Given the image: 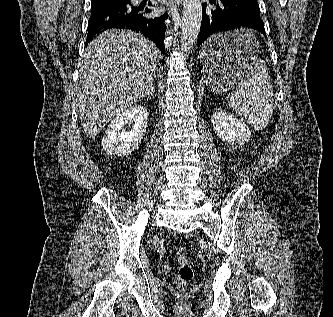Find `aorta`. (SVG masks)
<instances>
[{
  "mask_svg": "<svg viewBox=\"0 0 333 317\" xmlns=\"http://www.w3.org/2000/svg\"><path fill=\"white\" fill-rule=\"evenodd\" d=\"M202 6L200 0H183L181 50L189 53L200 31Z\"/></svg>",
  "mask_w": 333,
  "mask_h": 317,
  "instance_id": "aorta-1",
  "label": "aorta"
}]
</instances>
